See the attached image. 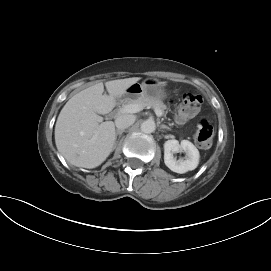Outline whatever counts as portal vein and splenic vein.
<instances>
[{"mask_svg":"<svg viewBox=\"0 0 271 271\" xmlns=\"http://www.w3.org/2000/svg\"><path fill=\"white\" fill-rule=\"evenodd\" d=\"M141 110H143V107L139 104H126L119 109V113H131L132 114V113H137ZM155 114L158 117H161L162 111L159 109H155Z\"/></svg>","mask_w":271,"mask_h":271,"instance_id":"1","label":"portal vein and splenic vein"}]
</instances>
